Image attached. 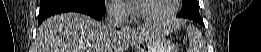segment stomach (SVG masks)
<instances>
[{"mask_svg":"<svg viewBox=\"0 0 261 52\" xmlns=\"http://www.w3.org/2000/svg\"><path fill=\"white\" fill-rule=\"evenodd\" d=\"M131 43L138 52H170L166 40L151 28L134 35Z\"/></svg>","mask_w":261,"mask_h":52,"instance_id":"obj_1","label":"stomach"}]
</instances>
